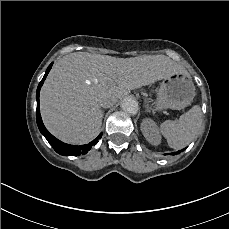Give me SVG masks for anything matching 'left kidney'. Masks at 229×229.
I'll return each mask as SVG.
<instances>
[{
  "label": "left kidney",
  "instance_id": "5707ae66",
  "mask_svg": "<svg viewBox=\"0 0 229 229\" xmlns=\"http://www.w3.org/2000/svg\"><path fill=\"white\" fill-rule=\"evenodd\" d=\"M141 131L151 145H158L160 143V135L153 121L145 119L142 122Z\"/></svg>",
  "mask_w": 229,
  "mask_h": 229
}]
</instances>
